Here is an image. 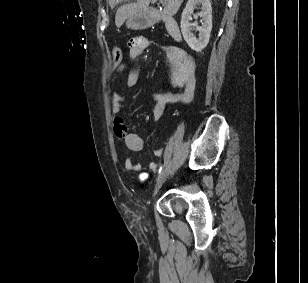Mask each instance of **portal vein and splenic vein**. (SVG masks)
Masks as SVG:
<instances>
[{"mask_svg":"<svg viewBox=\"0 0 308 283\" xmlns=\"http://www.w3.org/2000/svg\"><path fill=\"white\" fill-rule=\"evenodd\" d=\"M153 1L155 2L156 0H153ZM160 2L163 3V0H160Z\"/></svg>","mask_w":308,"mask_h":283,"instance_id":"1","label":"portal vein and splenic vein"}]
</instances>
